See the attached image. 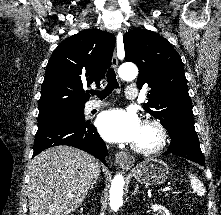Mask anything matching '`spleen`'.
<instances>
[{"label": "spleen", "mask_w": 221, "mask_h": 215, "mask_svg": "<svg viewBox=\"0 0 221 215\" xmlns=\"http://www.w3.org/2000/svg\"><path fill=\"white\" fill-rule=\"evenodd\" d=\"M189 177L191 178L192 188L197 192L199 196H204L205 189L203 187V184L200 182V180L197 177H195L193 174H189Z\"/></svg>", "instance_id": "3e777b00"}]
</instances>
